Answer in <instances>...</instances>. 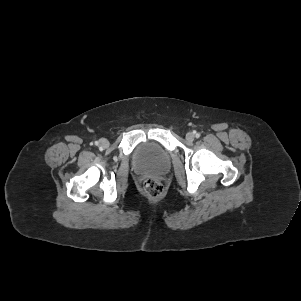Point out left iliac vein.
<instances>
[{"mask_svg": "<svg viewBox=\"0 0 301 301\" xmlns=\"http://www.w3.org/2000/svg\"><path fill=\"white\" fill-rule=\"evenodd\" d=\"M194 134L189 132L186 134V140L189 141V142H192L194 140Z\"/></svg>", "mask_w": 301, "mask_h": 301, "instance_id": "obj_1", "label": "left iliac vein"}]
</instances>
